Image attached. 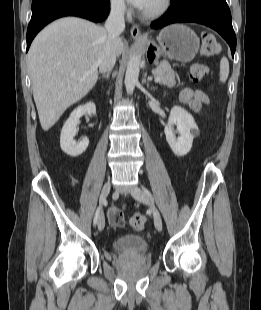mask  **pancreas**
<instances>
[{
	"label": "pancreas",
	"instance_id": "pancreas-1",
	"mask_svg": "<svg viewBox=\"0 0 261 310\" xmlns=\"http://www.w3.org/2000/svg\"><path fill=\"white\" fill-rule=\"evenodd\" d=\"M155 77H159L162 85L173 87L176 83L175 72L171 69L170 65L166 62H162L152 71Z\"/></svg>",
	"mask_w": 261,
	"mask_h": 310
}]
</instances>
